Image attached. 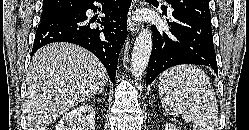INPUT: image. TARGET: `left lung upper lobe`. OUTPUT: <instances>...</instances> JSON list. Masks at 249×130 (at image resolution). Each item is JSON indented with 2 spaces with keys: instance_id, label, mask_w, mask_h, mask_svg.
Here are the masks:
<instances>
[{
  "instance_id": "left-lung-upper-lobe-1",
  "label": "left lung upper lobe",
  "mask_w": 249,
  "mask_h": 130,
  "mask_svg": "<svg viewBox=\"0 0 249 130\" xmlns=\"http://www.w3.org/2000/svg\"><path fill=\"white\" fill-rule=\"evenodd\" d=\"M167 3L171 4L172 13L211 25L209 0H167ZM161 10L167 13L166 6L162 5Z\"/></svg>"
}]
</instances>
